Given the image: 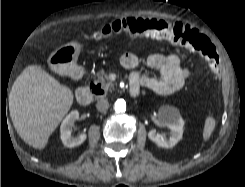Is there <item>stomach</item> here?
I'll return each mask as SVG.
<instances>
[{"label": "stomach", "instance_id": "stomach-1", "mask_svg": "<svg viewBox=\"0 0 245 187\" xmlns=\"http://www.w3.org/2000/svg\"><path fill=\"white\" fill-rule=\"evenodd\" d=\"M81 48L82 46L78 42H70L59 47L49 56V67L58 74L71 72L76 66Z\"/></svg>", "mask_w": 245, "mask_h": 187}]
</instances>
